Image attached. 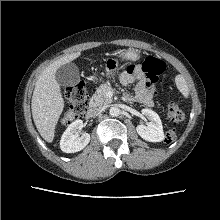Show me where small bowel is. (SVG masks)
I'll list each match as a JSON object with an SVG mask.
<instances>
[{
  "mask_svg": "<svg viewBox=\"0 0 220 220\" xmlns=\"http://www.w3.org/2000/svg\"><path fill=\"white\" fill-rule=\"evenodd\" d=\"M120 82L123 85H129L136 81L135 93H125L126 101L137 100L146 106L153 105V88L148 84L142 70L137 66H129L123 73L120 74Z\"/></svg>",
  "mask_w": 220,
  "mask_h": 220,
  "instance_id": "obj_1",
  "label": "small bowel"
}]
</instances>
